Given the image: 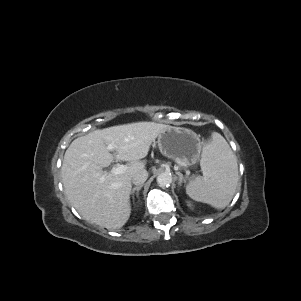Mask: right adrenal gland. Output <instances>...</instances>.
I'll use <instances>...</instances> for the list:
<instances>
[{
  "mask_svg": "<svg viewBox=\"0 0 301 301\" xmlns=\"http://www.w3.org/2000/svg\"><path fill=\"white\" fill-rule=\"evenodd\" d=\"M142 187H143V185H139V186L134 187V188L132 189V191H131L132 197H134L135 191L137 192V196H138V193H139V191L141 190Z\"/></svg>",
  "mask_w": 301,
  "mask_h": 301,
  "instance_id": "obj_1",
  "label": "right adrenal gland"
}]
</instances>
